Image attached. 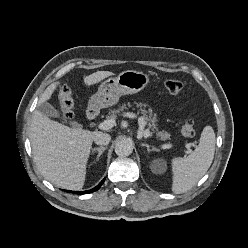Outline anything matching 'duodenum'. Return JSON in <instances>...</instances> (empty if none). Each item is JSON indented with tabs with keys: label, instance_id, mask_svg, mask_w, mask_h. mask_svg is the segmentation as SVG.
I'll list each match as a JSON object with an SVG mask.
<instances>
[{
	"label": "duodenum",
	"instance_id": "1",
	"mask_svg": "<svg viewBox=\"0 0 248 248\" xmlns=\"http://www.w3.org/2000/svg\"><path fill=\"white\" fill-rule=\"evenodd\" d=\"M96 116V111L92 108H90L87 112H86V117L88 120H92L94 119Z\"/></svg>",
	"mask_w": 248,
	"mask_h": 248
}]
</instances>
